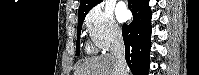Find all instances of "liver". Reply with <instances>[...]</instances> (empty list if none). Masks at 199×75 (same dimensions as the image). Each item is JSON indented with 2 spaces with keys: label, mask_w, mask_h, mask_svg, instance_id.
<instances>
[{
  "label": "liver",
  "mask_w": 199,
  "mask_h": 75,
  "mask_svg": "<svg viewBox=\"0 0 199 75\" xmlns=\"http://www.w3.org/2000/svg\"><path fill=\"white\" fill-rule=\"evenodd\" d=\"M74 75H115V58L112 54H105L85 60ZM126 75H129L128 69Z\"/></svg>",
  "instance_id": "1"
}]
</instances>
